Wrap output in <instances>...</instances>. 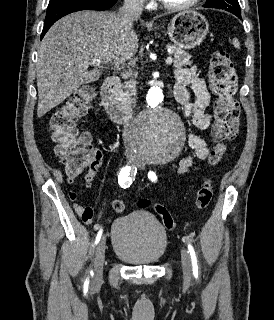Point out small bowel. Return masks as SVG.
<instances>
[{"label":"small bowel","instance_id":"small-bowel-1","mask_svg":"<svg viewBox=\"0 0 274 320\" xmlns=\"http://www.w3.org/2000/svg\"><path fill=\"white\" fill-rule=\"evenodd\" d=\"M190 85L195 94L194 99L190 98L187 86ZM174 95L176 100L183 106L184 114L193 126L198 130H206L211 123L212 116L208 112L210 104V93L205 81L198 76L195 68H180L175 72ZM187 144L192 149V153L183 156L178 164L177 172L185 175L195 169L196 160H205L210 155V148L201 136L190 132L187 136ZM85 161L89 162V167L84 175L86 187L92 185L103 164V153L98 148H90L86 154ZM71 198V197H70ZM77 196L71 198L76 201ZM74 210L82 221L91 224L93 221V209L89 206L74 203Z\"/></svg>","mask_w":274,"mask_h":320}]
</instances>
